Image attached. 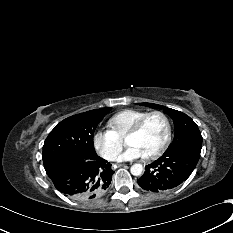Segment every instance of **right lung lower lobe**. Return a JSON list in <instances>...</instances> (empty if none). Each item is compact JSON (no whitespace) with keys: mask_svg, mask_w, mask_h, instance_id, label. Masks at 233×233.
<instances>
[{"mask_svg":"<svg viewBox=\"0 0 233 233\" xmlns=\"http://www.w3.org/2000/svg\"><path fill=\"white\" fill-rule=\"evenodd\" d=\"M57 190L76 200H90L109 187L114 171L111 164L96 155L73 156L46 172Z\"/></svg>","mask_w":233,"mask_h":233,"instance_id":"obj_1","label":"right lung lower lobe"}]
</instances>
